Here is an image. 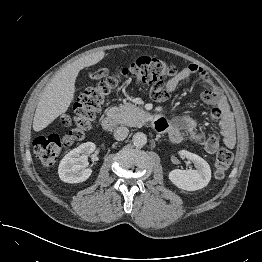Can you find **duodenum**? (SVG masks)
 <instances>
[{
  "label": "duodenum",
  "mask_w": 262,
  "mask_h": 262,
  "mask_svg": "<svg viewBox=\"0 0 262 262\" xmlns=\"http://www.w3.org/2000/svg\"><path fill=\"white\" fill-rule=\"evenodd\" d=\"M117 123H118V118L115 113L106 115L105 117H103L101 121L103 128L108 131L114 130L117 126ZM161 124H162L161 119L158 118L154 119V125L156 130H159Z\"/></svg>",
  "instance_id": "obj_1"
}]
</instances>
